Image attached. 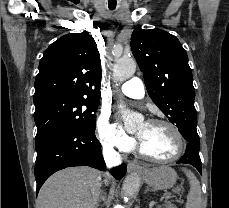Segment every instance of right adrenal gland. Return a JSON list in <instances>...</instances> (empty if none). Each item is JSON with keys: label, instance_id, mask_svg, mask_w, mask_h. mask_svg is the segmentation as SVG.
<instances>
[{"label": "right adrenal gland", "instance_id": "2a0ac1e0", "mask_svg": "<svg viewBox=\"0 0 229 208\" xmlns=\"http://www.w3.org/2000/svg\"><path fill=\"white\" fill-rule=\"evenodd\" d=\"M101 202H104V204L106 202V194H104V192H101V196H100V198L98 200L97 208H99Z\"/></svg>", "mask_w": 229, "mask_h": 208}]
</instances>
